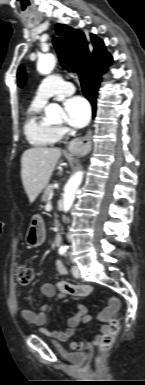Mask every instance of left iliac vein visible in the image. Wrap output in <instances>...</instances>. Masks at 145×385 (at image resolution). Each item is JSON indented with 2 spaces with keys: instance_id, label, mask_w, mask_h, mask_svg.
<instances>
[{
  "instance_id": "left-iliac-vein-1",
  "label": "left iliac vein",
  "mask_w": 145,
  "mask_h": 385,
  "mask_svg": "<svg viewBox=\"0 0 145 385\" xmlns=\"http://www.w3.org/2000/svg\"><path fill=\"white\" fill-rule=\"evenodd\" d=\"M72 274L75 278H80V269L77 265L72 266Z\"/></svg>"
}]
</instances>
